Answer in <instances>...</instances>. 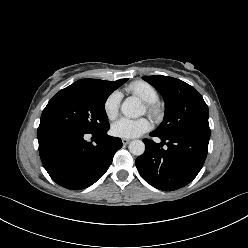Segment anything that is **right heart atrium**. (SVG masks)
Returning <instances> with one entry per match:
<instances>
[{"label":"right heart atrium","instance_id":"obj_1","mask_svg":"<svg viewBox=\"0 0 248 248\" xmlns=\"http://www.w3.org/2000/svg\"><path fill=\"white\" fill-rule=\"evenodd\" d=\"M120 99H121L120 93L117 91L111 93L105 99L103 109L108 119L112 120L118 115Z\"/></svg>","mask_w":248,"mask_h":248}]
</instances>
